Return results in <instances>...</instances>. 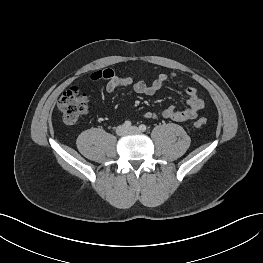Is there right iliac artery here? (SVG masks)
I'll use <instances>...</instances> for the list:
<instances>
[{"instance_id":"obj_1","label":"right iliac artery","mask_w":263,"mask_h":263,"mask_svg":"<svg viewBox=\"0 0 263 263\" xmlns=\"http://www.w3.org/2000/svg\"><path fill=\"white\" fill-rule=\"evenodd\" d=\"M131 122L130 121H125L124 122V126L126 127V128H130L131 127Z\"/></svg>"}]
</instances>
